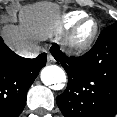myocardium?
Here are the masks:
<instances>
[{"instance_id":"myocardium-1","label":"myocardium","mask_w":117,"mask_h":117,"mask_svg":"<svg viewBox=\"0 0 117 117\" xmlns=\"http://www.w3.org/2000/svg\"><path fill=\"white\" fill-rule=\"evenodd\" d=\"M91 22L93 27L91 30L85 32L84 27ZM99 30L98 22L92 18L87 17L79 21L70 31L65 39V47L70 53L82 54L86 52L94 43Z\"/></svg>"}]
</instances>
